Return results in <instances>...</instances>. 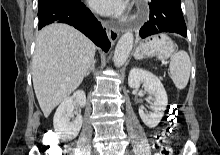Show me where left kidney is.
<instances>
[{
  "mask_svg": "<svg viewBox=\"0 0 220 155\" xmlns=\"http://www.w3.org/2000/svg\"><path fill=\"white\" fill-rule=\"evenodd\" d=\"M128 84L131 88H139L143 84L144 90L150 94L152 112L146 113L144 107H141L139 108V115L146 126L149 128L156 127L160 123L168 104L167 93L163 84L157 76L140 68L130 70Z\"/></svg>",
  "mask_w": 220,
  "mask_h": 155,
  "instance_id": "5707ae66",
  "label": "left kidney"
}]
</instances>
